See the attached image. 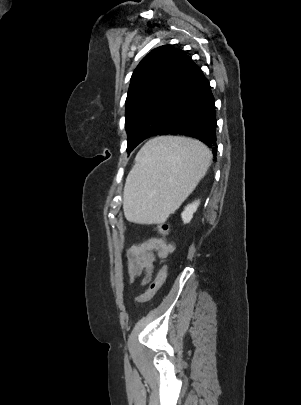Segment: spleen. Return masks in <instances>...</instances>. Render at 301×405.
I'll list each match as a JSON object with an SVG mask.
<instances>
[{
  "instance_id": "3e777b00",
  "label": "spleen",
  "mask_w": 301,
  "mask_h": 405,
  "mask_svg": "<svg viewBox=\"0 0 301 405\" xmlns=\"http://www.w3.org/2000/svg\"><path fill=\"white\" fill-rule=\"evenodd\" d=\"M212 160L210 150L190 138L160 136L138 152L136 165L124 188L127 220L164 222L179 208L205 176Z\"/></svg>"
}]
</instances>
